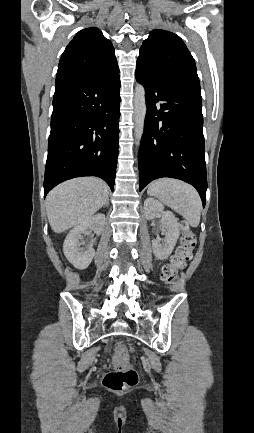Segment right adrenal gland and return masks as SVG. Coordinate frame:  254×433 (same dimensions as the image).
<instances>
[{"label":"right adrenal gland","mask_w":254,"mask_h":433,"mask_svg":"<svg viewBox=\"0 0 254 433\" xmlns=\"http://www.w3.org/2000/svg\"><path fill=\"white\" fill-rule=\"evenodd\" d=\"M108 207L109 206V198H107V201H106V203L104 204V207Z\"/></svg>","instance_id":"obj_1"}]
</instances>
